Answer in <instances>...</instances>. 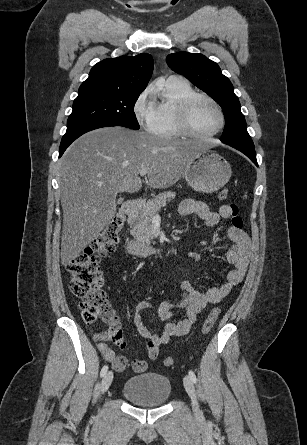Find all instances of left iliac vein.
Returning a JSON list of instances; mask_svg holds the SVG:
<instances>
[{
    "label": "left iliac vein",
    "mask_w": 307,
    "mask_h": 445,
    "mask_svg": "<svg viewBox=\"0 0 307 445\" xmlns=\"http://www.w3.org/2000/svg\"><path fill=\"white\" fill-rule=\"evenodd\" d=\"M183 383H184V387L188 393V395L191 398L192 401V408H193V412L195 414V416L197 418H201L202 417V413L199 409V405H198V401L196 398V392H195V388L193 385V381L190 379L189 376H185L183 379Z\"/></svg>",
    "instance_id": "obj_1"
}]
</instances>
